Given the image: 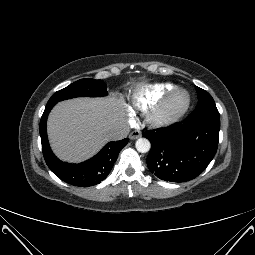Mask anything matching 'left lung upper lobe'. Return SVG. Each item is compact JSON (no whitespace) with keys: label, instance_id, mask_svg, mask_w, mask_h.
I'll list each match as a JSON object with an SVG mask.
<instances>
[{"label":"left lung upper lobe","instance_id":"left-lung-upper-lobe-1","mask_svg":"<svg viewBox=\"0 0 255 255\" xmlns=\"http://www.w3.org/2000/svg\"><path fill=\"white\" fill-rule=\"evenodd\" d=\"M196 88L199 102L196 109L188 116V120H219L220 115L211 95L199 87Z\"/></svg>","mask_w":255,"mask_h":255}]
</instances>
